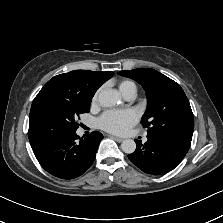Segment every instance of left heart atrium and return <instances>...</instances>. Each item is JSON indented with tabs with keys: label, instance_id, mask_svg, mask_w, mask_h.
Wrapping results in <instances>:
<instances>
[{
	"label": "left heart atrium",
	"instance_id": "39dd6f15",
	"mask_svg": "<svg viewBox=\"0 0 223 223\" xmlns=\"http://www.w3.org/2000/svg\"><path fill=\"white\" fill-rule=\"evenodd\" d=\"M139 114L132 108L113 109L105 111L97 120L101 129L114 133L123 134L137 123Z\"/></svg>",
	"mask_w": 223,
	"mask_h": 223
}]
</instances>
